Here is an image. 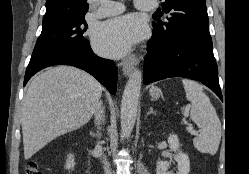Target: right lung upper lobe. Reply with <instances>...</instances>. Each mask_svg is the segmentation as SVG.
<instances>
[{"label":"right lung upper lobe","mask_w":249,"mask_h":174,"mask_svg":"<svg viewBox=\"0 0 249 174\" xmlns=\"http://www.w3.org/2000/svg\"><path fill=\"white\" fill-rule=\"evenodd\" d=\"M87 11V0H46L43 26L84 17Z\"/></svg>","instance_id":"right-lung-upper-lobe-1"}]
</instances>
